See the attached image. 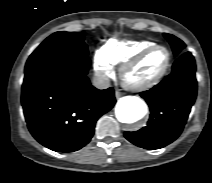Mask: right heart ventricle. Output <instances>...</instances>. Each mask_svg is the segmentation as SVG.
I'll return each mask as SVG.
<instances>
[{
	"instance_id": "1",
	"label": "right heart ventricle",
	"mask_w": 212,
	"mask_h": 183,
	"mask_svg": "<svg viewBox=\"0 0 212 183\" xmlns=\"http://www.w3.org/2000/svg\"><path fill=\"white\" fill-rule=\"evenodd\" d=\"M154 44L156 42L151 40L126 41L112 39L102 49L112 65H122L141 50Z\"/></svg>"
}]
</instances>
